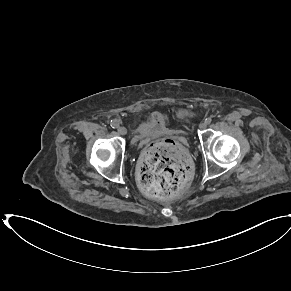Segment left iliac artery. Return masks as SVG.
Listing matches in <instances>:
<instances>
[{
    "mask_svg": "<svg viewBox=\"0 0 291 291\" xmlns=\"http://www.w3.org/2000/svg\"><path fill=\"white\" fill-rule=\"evenodd\" d=\"M211 121H212V118H211V117H208V118L205 119V122H206L207 124H210Z\"/></svg>",
    "mask_w": 291,
    "mask_h": 291,
    "instance_id": "obj_1",
    "label": "left iliac artery"
}]
</instances>
